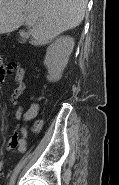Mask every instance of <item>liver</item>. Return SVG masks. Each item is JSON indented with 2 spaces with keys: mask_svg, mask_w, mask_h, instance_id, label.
<instances>
[{
  "mask_svg": "<svg viewBox=\"0 0 119 185\" xmlns=\"http://www.w3.org/2000/svg\"><path fill=\"white\" fill-rule=\"evenodd\" d=\"M88 0H0V34L22 25L33 44L45 45L83 21Z\"/></svg>",
  "mask_w": 119,
  "mask_h": 185,
  "instance_id": "1",
  "label": "liver"
}]
</instances>
